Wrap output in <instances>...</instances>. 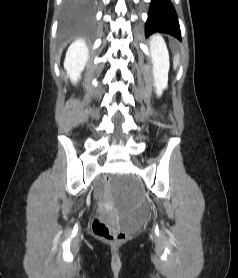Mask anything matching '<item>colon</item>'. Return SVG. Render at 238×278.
I'll return each mask as SVG.
<instances>
[{
    "label": "colon",
    "mask_w": 238,
    "mask_h": 278,
    "mask_svg": "<svg viewBox=\"0 0 238 278\" xmlns=\"http://www.w3.org/2000/svg\"><path fill=\"white\" fill-rule=\"evenodd\" d=\"M112 178L110 174L101 178V188L103 191H107L111 188ZM102 217L93 221L92 230L93 233L100 239L108 242H122L127 238V232L123 230L114 221V215L112 211L104 203L102 205Z\"/></svg>",
    "instance_id": "1"
}]
</instances>
